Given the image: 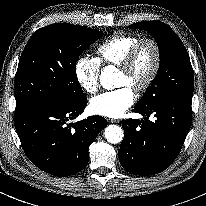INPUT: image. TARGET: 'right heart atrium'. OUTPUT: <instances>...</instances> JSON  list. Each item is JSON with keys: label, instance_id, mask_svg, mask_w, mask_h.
Here are the masks:
<instances>
[{"label": "right heart atrium", "instance_id": "1", "mask_svg": "<svg viewBox=\"0 0 206 206\" xmlns=\"http://www.w3.org/2000/svg\"><path fill=\"white\" fill-rule=\"evenodd\" d=\"M74 74L80 88L89 95L99 89L100 63L97 59L81 56L75 64Z\"/></svg>", "mask_w": 206, "mask_h": 206}]
</instances>
